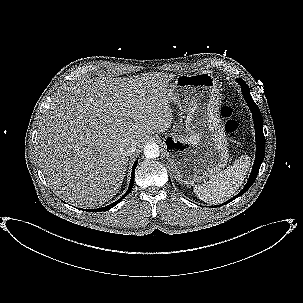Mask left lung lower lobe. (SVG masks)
<instances>
[{"instance_id": "left-lung-lower-lobe-1", "label": "left lung lower lobe", "mask_w": 303, "mask_h": 303, "mask_svg": "<svg viewBox=\"0 0 303 303\" xmlns=\"http://www.w3.org/2000/svg\"><path fill=\"white\" fill-rule=\"evenodd\" d=\"M237 82L241 85L242 94H243V96L247 102V105L249 106L250 111L253 116L254 125H255V137H256V158H255V162H254L249 180H248L247 184L245 185V187L235 197L231 198L230 200H228L227 202H225L221 205H216V207L225 205V204L233 201L237 197L243 195L255 181V179L258 175L260 166L264 159L265 137L263 134V119L260 114V110L250 95V89H249L248 85L242 79H238Z\"/></svg>"}]
</instances>
